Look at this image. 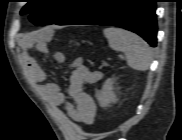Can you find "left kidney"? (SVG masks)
Here are the masks:
<instances>
[{
    "mask_svg": "<svg viewBox=\"0 0 182 140\" xmlns=\"http://www.w3.org/2000/svg\"><path fill=\"white\" fill-rule=\"evenodd\" d=\"M114 79L109 78L103 84V87L99 93H97V100L102 107H107L111 103H115L117 101L116 95L114 93Z\"/></svg>",
    "mask_w": 182,
    "mask_h": 140,
    "instance_id": "left-kidney-1",
    "label": "left kidney"
}]
</instances>
